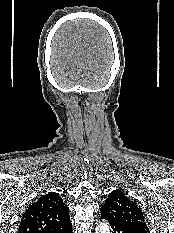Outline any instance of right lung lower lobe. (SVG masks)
<instances>
[{
  "label": "right lung lower lobe",
  "mask_w": 174,
  "mask_h": 233,
  "mask_svg": "<svg viewBox=\"0 0 174 233\" xmlns=\"http://www.w3.org/2000/svg\"><path fill=\"white\" fill-rule=\"evenodd\" d=\"M71 232H72V225L68 226V227L65 228V229L56 231L55 233H71Z\"/></svg>",
  "instance_id": "right-lung-lower-lobe-1"
}]
</instances>
